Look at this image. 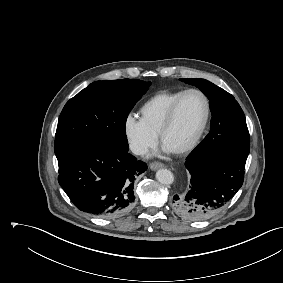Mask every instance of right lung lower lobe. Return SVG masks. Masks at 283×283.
Listing matches in <instances>:
<instances>
[{"instance_id": "98d812e1", "label": "right lung lower lobe", "mask_w": 283, "mask_h": 283, "mask_svg": "<svg viewBox=\"0 0 283 283\" xmlns=\"http://www.w3.org/2000/svg\"><path fill=\"white\" fill-rule=\"evenodd\" d=\"M60 186L81 211L119 216L134 203V180L146 163L108 143L79 146L58 158Z\"/></svg>"}]
</instances>
